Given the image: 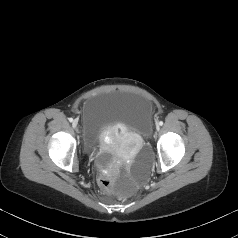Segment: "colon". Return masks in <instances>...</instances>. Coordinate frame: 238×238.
Listing matches in <instances>:
<instances>
[{
	"label": "colon",
	"instance_id": "5ec220e1",
	"mask_svg": "<svg viewBox=\"0 0 238 238\" xmlns=\"http://www.w3.org/2000/svg\"><path fill=\"white\" fill-rule=\"evenodd\" d=\"M100 185L104 190L110 191L114 186V180L112 177L104 176L100 179Z\"/></svg>",
	"mask_w": 238,
	"mask_h": 238
}]
</instances>
